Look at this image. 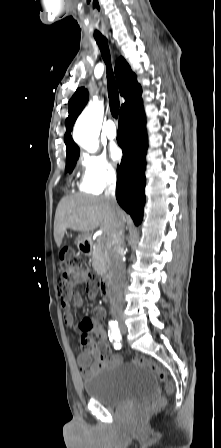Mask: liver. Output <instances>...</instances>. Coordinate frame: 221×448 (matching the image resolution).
<instances>
[{"label": "liver", "instance_id": "1", "mask_svg": "<svg viewBox=\"0 0 221 448\" xmlns=\"http://www.w3.org/2000/svg\"><path fill=\"white\" fill-rule=\"evenodd\" d=\"M126 219V214L119 207L114 209L105 197L66 196L56 209L54 239L60 247L67 229L88 233L100 227L110 241L118 222Z\"/></svg>", "mask_w": 221, "mask_h": 448}]
</instances>
